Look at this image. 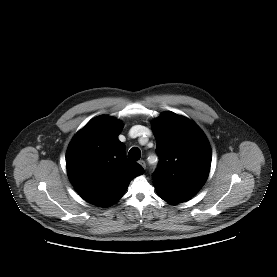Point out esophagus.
Returning a JSON list of instances; mask_svg holds the SVG:
<instances>
[{"mask_svg": "<svg viewBox=\"0 0 277 277\" xmlns=\"http://www.w3.org/2000/svg\"><path fill=\"white\" fill-rule=\"evenodd\" d=\"M139 164L145 169L146 168V163L144 160H139Z\"/></svg>", "mask_w": 277, "mask_h": 277, "instance_id": "34e87169", "label": "esophagus"}]
</instances>
